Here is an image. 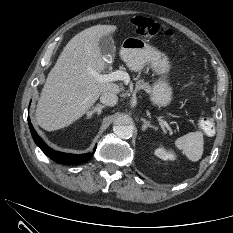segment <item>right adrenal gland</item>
Masks as SVG:
<instances>
[{
  "label": "right adrenal gland",
  "mask_w": 233,
  "mask_h": 233,
  "mask_svg": "<svg viewBox=\"0 0 233 233\" xmlns=\"http://www.w3.org/2000/svg\"><path fill=\"white\" fill-rule=\"evenodd\" d=\"M103 108H105L104 105H97L96 107H93L91 111H88L86 113L87 119H90L94 113H97V115H100Z\"/></svg>",
  "instance_id": "2a0ac1e0"
}]
</instances>
